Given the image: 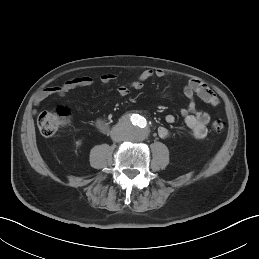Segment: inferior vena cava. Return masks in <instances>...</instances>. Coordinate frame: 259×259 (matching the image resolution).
I'll return each instance as SVG.
<instances>
[{
    "mask_svg": "<svg viewBox=\"0 0 259 259\" xmlns=\"http://www.w3.org/2000/svg\"><path fill=\"white\" fill-rule=\"evenodd\" d=\"M111 138L113 141L119 142L123 140V136L119 131H113L111 133Z\"/></svg>",
    "mask_w": 259,
    "mask_h": 259,
    "instance_id": "obj_1",
    "label": "inferior vena cava"
}]
</instances>
